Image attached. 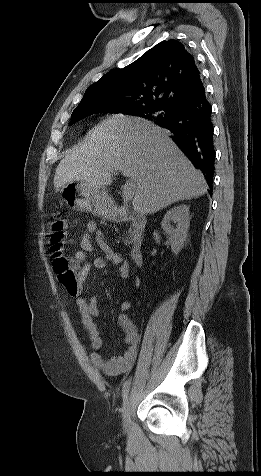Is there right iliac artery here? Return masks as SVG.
<instances>
[{"label": "right iliac artery", "mask_w": 261, "mask_h": 476, "mask_svg": "<svg viewBox=\"0 0 261 476\" xmlns=\"http://www.w3.org/2000/svg\"><path fill=\"white\" fill-rule=\"evenodd\" d=\"M130 384H131V378L126 380L124 385H123V388H122V397H123V399H125L127 397V394H128L129 388H130Z\"/></svg>", "instance_id": "82829eb1"}]
</instances>
